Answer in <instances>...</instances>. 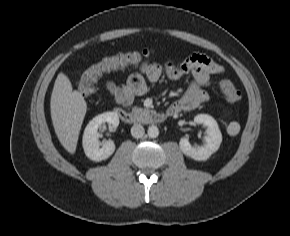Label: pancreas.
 <instances>
[{
  "instance_id": "1",
  "label": "pancreas",
  "mask_w": 290,
  "mask_h": 236,
  "mask_svg": "<svg viewBox=\"0 0 290 236\" xmlns=\"http://www.w3.org/2000/svg\"><path fill=\"white\" fill-rule=\"evenodd\" d=\"M133 111H134L135 113H138V114H140V113L143 112V110H142L141 108H137V107H134V108H133Z\"/></svg>"
}]
</instances>
